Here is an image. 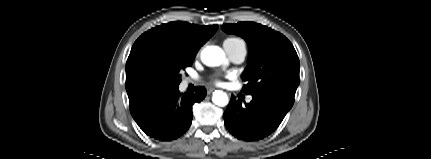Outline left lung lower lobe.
<instances>
[{
  "label": "left lung lower lobe",
  "mask_w": 431,
  "mask_h": 159,
  "mask_svg": "<svg viewBox=\"0 0 431 159\" xmlns=\"http://www.w3.org/2000/svg\"><path fill=\"white\" fill-rule=\"evenodd\" d=\"M245 106L232 95L224 112V122L229 132L245 141H256L271 134L282 122L293 103L276 95H252Z\"/></svg>",
  "instance_id": "1"
}]
</instances>
